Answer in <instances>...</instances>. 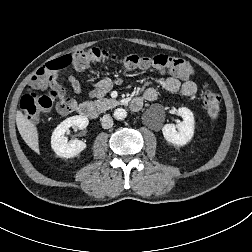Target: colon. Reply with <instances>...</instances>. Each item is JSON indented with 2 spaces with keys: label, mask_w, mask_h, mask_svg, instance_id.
<instances>
[{
  "label": "colon",
  "mask_w": 252,
  "mask_h": 252,
  "mask_svg": "<svg viewBox=\"0 0 252 252\" xmlns=\"http://www.w3.org/2000/svg\"><path fill=\"white\" fill-rule=\"evenodd\" d=\"M113 61L120 63L125 69L148 70L157 69L168 71L182 78L194 75V67L183 58L156 55L154 57H143L135 54L119 56L100 48L79 50L72 55H64L47 62L33 77L27 93L21 98L20 107L31 121H36L50 111L55 101L65 99L62 88L58 86V76L66 68L72 67L76 70H85L95 63ZM50 87L47 94H39V91ZM201 97L208 118L211 122L216 121L220 114V96L208 85H203Z\"/></svg>",
  "instance_id": "obj_1"
}]
</instances>
